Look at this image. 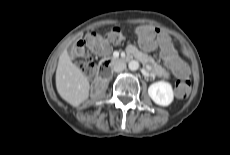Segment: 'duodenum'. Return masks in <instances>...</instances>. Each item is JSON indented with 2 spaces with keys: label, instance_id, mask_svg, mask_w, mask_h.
<instances>
[{
  "label": "duodenum",
  "instance_id": "duodenum-1",
  "mask_svg": "<svg viewBox=\"0 0 230 155\" xmlns=\"http://www.w3.org/2000/svg\"><path fill=\"white\" fill-rule=\"evenodd\" d=\"M124 59L123 58H120V57H110L106 60H104L101 68H100V73L101 75L107 73L110 69L111 66H113L114 64L118 63V62H121L123 61ZM102 81L101 79L98 80V82Z\"/></svg>",
  "mask_w": 230,
  "mask_h": 155
}]
</instances>
